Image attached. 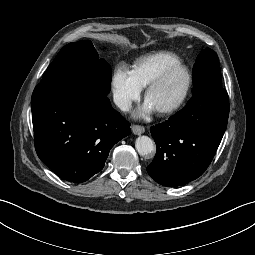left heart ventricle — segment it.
<instances>
[{
  "label": "left heart ventricle",
  "instance_id": "obj_1",
  "mask_svg": "<svg viewBox=\"0 0 255 255\" xmlns=\"http://www.w3.org/2000/svg\"><path fill=\"white\" fill-rule=\"evenodd\" d=\"M186 82V73L180 69L175 70L148 95L146 102L155 110L165 107L182 95Z\"/></svg>",
  "mask_w": 255,
  "mask_h": 255
}]
</instances>
